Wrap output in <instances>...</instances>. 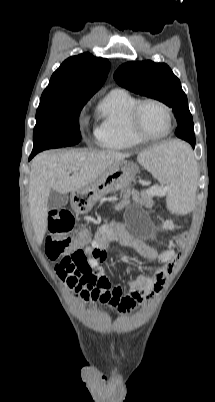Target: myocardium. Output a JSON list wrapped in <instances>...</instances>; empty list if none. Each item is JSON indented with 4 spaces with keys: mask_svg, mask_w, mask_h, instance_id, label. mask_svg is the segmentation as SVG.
<instances>
[{
    "mask_svg": "<svg viewBox=\"0 0 215 402\" xmlns=\"http://www.w3.org/2000/svg\"><path fill=\"white\" fill-rule=\"evenodd\" d=\"M147 104H155L165 111L167 118H168V129L163 134L151 135L142 129L141 123H140V114H141L142 108ZM129 123H130V128H131L132 132L138 138L145 140V141L161 140V139L167 137L173 129V114H172L170 107L167 104H165L164 102H162L161 100H158L155 98H145V99L138 100L135 103V105L132 107V109L130 111V115H129Z\"/></svg>",
    "mask_w": 215,
    "mask_h": 402,
    "instance_id": "myocardium-1",
    "label": "myocardium"
}]
</instances>
